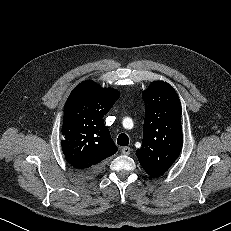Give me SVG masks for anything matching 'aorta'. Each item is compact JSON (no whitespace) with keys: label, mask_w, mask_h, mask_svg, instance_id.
Segmentation results:
<instances>
[{"label":"aorta","mask_w":231,"mask_h":231,"mask_svg":"<svg viewBox=\"0 0 231 231\" xmlns=\"http://www.w3.org/2000/svg\"><path fill=\"white\" fill-rule=\"evenodd\" d=\"M128 124H132V119H130V118H125V119L123 120V125H124V127H126V125H128Z\"/></svg>","instance_id":"obj_1"}]
</instances>
